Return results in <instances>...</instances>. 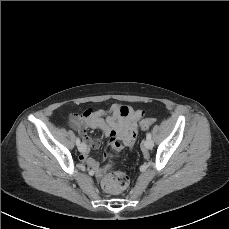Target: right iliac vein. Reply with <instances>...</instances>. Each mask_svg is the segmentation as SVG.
<instances>
[{"mask_svg":"<svg viewBox=\"0 0 229 229\" xmlns=\"http://www.w3.org/2000/svg\"><path fill=\"white\" fill-rule=\"evenodd\" d=\"M84 147H85V145L82 143V144H80V145L78 146V150H79L80 152H82L83 149H84Z\"/></svg>","mask_w":229,"mask_h":229,"instance_id":"right-iliac-vein-1","label":"right iliac vein"}]
</instances>
